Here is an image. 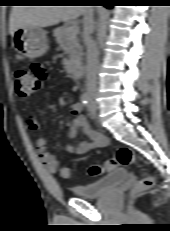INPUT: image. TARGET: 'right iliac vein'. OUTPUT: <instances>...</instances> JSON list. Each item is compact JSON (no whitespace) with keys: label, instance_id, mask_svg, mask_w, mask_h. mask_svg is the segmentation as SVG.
<instances>
[{"label":"right iliac vein","instance_id":"1","mask_svg":"<svg viewBox=\"0 0 170 231\" xmlns=\"http://www.w3.org/2000/svg\"><path fill=\"white\" fill-rule=\"evenodd\" d=\"M91 99H93V97H91ZM93 109H94V111H95V110H96V107H94Z\"/></svg>","mask_w":170,"mask_h":231}]
</instances>
